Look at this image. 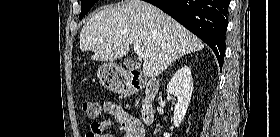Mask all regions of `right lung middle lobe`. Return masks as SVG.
I'll return each mask as SVG.
<instances>
[{
  "label": "right lung middle lobe",
  "mask_w": 280,
  "mask_h": 137,
  "mask_svg": "<svg viewBox=\"0 0 280 137\" xmlns=\"http://www.w3.org/2000/svg\"><path fill=\"white\" fill-rule=\"evenodd\" d=\"M98 0H81V13L79 19L83 18Z\"/></svg>",
  "instance_id": "obj_1"
}]
</instances>
